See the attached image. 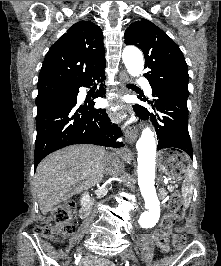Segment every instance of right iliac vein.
Returning <instances> with one entry per match:
<instances>
[{
  "label": "right iliac vein",
  "instance_id": "obj_1",
  "mask_svg": "<svg viewBox=\"0 0 221 266\" xmlns=\"http://www.w3.org/2000/svg\"><path fill=\"white\" fill-rule=\"evenodd\" d=\"M77 252L80 253L81 252V248H79Z\"/></svg>",
  "mask_w": 221,
  "mask_h": 266
}]
</instances>
